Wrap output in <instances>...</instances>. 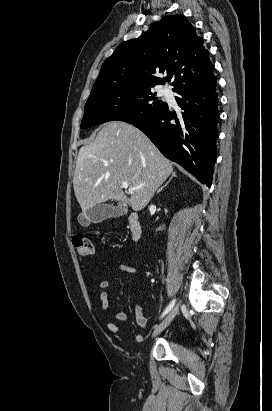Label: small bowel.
I'll use <instances>...</instances> for the list:
<instances>
[{
  "mask_svg": "<svg viewBox=\"0 0 272 411\" xmlns=\"http://www.w3.org/2000/svg\"><path fill=\"white\" fill-rule=\"evenodd\" d=\"M118 270L120 272H126V273H130L133 275H137L138 274V269L132 266H127L124 264H121L118 266ZM111 280L110 279H104L100 282V288H101V292L99 294V299L101 302V307L103 309L104 312H108L110 304H109V299H108V293L106 291V289L111 285ZM115 318L118 321H126L128 316L125 312H117L115 314ZM135 318H136V322L138 324V326L143 329V330H147L148 328V320L145 317L142 308L140 306H136L135 307ZM107 328L110 332L114 333V334H118L119 333V328L118 326L114 323V322H108L107 323ZM144 339L143 334L141 333H137L134 337V340L136 342H142Z\"/></svg>",
  "mask_w": 272,
  "mask_h": 411,
  "instance_id": "obj_1",
  "label": "small bowel"
}]
</instances>
